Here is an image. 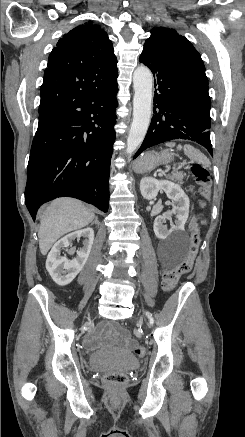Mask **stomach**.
<instances>
[{"mask_svg":"<svg viewBox=\"0 0 245 437\" xmlns=\"http://www.w3.org/2000/svg\"><path fill=\"white\" fill-rule=\"evenodd\" d=\"M171 150L158 152H146L134 164V170L138 173H147L161 164H167L173 159Z\"/></svg>","mask_w":245,"mask_h":437,"instance_id":"stomach-1","label":"stomach"}]
</instances>
